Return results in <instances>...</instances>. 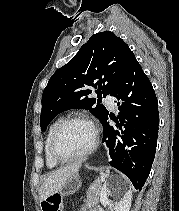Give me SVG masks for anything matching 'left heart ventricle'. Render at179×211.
Wrapping results in <instances>:
<instances>
[{
	"instance_id": "left-heart-ventricle-1",
	"label": "left heart ventricle",
	"mask_w": 179,
	"mask_h": 211,
	"mask_svg": "<svg viewBox=\"0 0 179 211\" xmlns=\"http://www.w3.org/2000/svg\"><path fill=\"white\" fill-rule=\"evenodd\" d=\"M94 139L93 127L83 121L72 122L62 131L57 150L64 157H72L87 150Z\"/></svg>"
}]
</instances>
